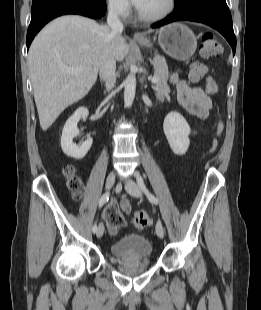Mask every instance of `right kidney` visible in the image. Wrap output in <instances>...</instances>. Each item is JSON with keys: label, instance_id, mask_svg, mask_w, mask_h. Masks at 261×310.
Returning a JSON list of instances; mask_svg holds the SVG:
<instances>
[{"label": "right kidney", "instance_id": "right-kidney-1", "mask_svg": "<svg viewBox=\"0 0 261 310\" xmlns=\"http://www.w3.org/2000/svg\"><path fill=\"white\" fill-rule=\"evenodd\" d=\"M89 111L85 107L78 108L74 114L66 121L62 136H61V148L63 152L74 159H82L88 153L92 145V138H88L82 145L78 146L73 142L74 137L79 133L77 124L80 119H84L88 116Z\"/></svg>", "mask_w": 261, "mask_h": 310}]
</instances>
